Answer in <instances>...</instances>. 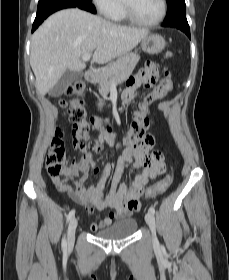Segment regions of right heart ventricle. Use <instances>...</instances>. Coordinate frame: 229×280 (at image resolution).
Instances as JSON below:
<instances>
[{"label": "right heart ventricle", "instance_id": "1", "mask_svg": "<svg viewBox=\"0 0 229 280\" xmlns=\"http://www.w3.org/2000/svg\"><path fill=\"white\" fill-rule=\"evenodd\" d=\"M110 19L117 21V22H122L125 21L126 16L123 11V6H122V0L120 1L119 6L116 8V10L113 12V14L110 16Z\"/></svg>", "mask_w": 229, "mask_h": 280}]
</instances>
